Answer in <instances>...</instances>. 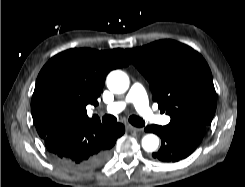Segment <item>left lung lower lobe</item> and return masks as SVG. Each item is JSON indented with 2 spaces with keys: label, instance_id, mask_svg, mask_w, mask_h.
<instances>
[{
  "label": "left lung lower lobe",
  "instance_id": "1",
  "mask_svg": "<svg viewBox=\"0 0 245 187\" xmlns=\"http://www.w3.org/2000/svg\"><path fill=\"white\" fill-rule=\"evenodd\" d=\"M146 132H153L161 138V147L152 154L163 162H177L188 157L202 141L206 127L201 125H148Z\"/></svg>",
  "mask_w": 245,
  "mask_h": 187
}]
</instances>
